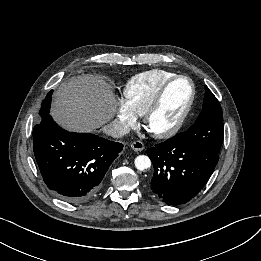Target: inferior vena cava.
Listing matches in <instances>:
<instances>
[{"label":"inferior vena cava","instance_id":"1","mask_svg":"<svg viewBox=\"0 0 261 261\" xmlns=\"http://www.w3.org/2000/svg\"><path fill=\"white\" fill-rule=\"evenodd\" d=\"M103 131L115 138L122 137L130 132V128L122 121L115 120L103 128Z\"/></svg>","mask_w":261,"mask_h":261}]
</instances>
